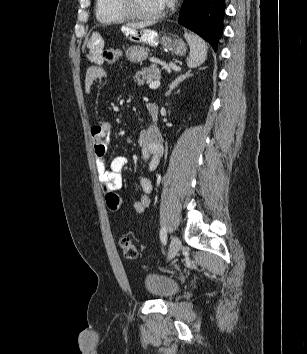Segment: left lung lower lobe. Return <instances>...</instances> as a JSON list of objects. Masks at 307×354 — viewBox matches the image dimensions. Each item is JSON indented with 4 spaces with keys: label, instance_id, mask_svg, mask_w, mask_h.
Masks as SVG:
<instances>
[{
    "label": "left lung lower lobe",
    "instance_id": "obj_1",
    "mask_svg": "<svg viewBox=\"0 0 307 354\" xmlns=\"http://www.w3.org/2000/svg\"><path fill=\"white\" fill-rule=\"evenodd\" d=\"M225 7V0H184L178 23L204 38L216 51Z\"/></svg>",
    "mask_w": 307,
    "mask_h": 354
}]
</instances>
